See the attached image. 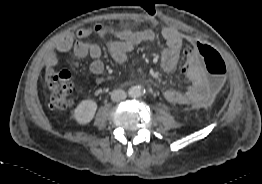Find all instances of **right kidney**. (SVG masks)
<instances>
[{
  "instance_id": "right-kidney-1",
  "label": "right kidney",
  "mask_w": 262,
  "mask_h": 184,
  "mask_svg": "<svg viewBox=\"0 0 262 184\" xmlns=\"http://www.w3.org/2000/svg\"><path fill=\"white\" fill-rule=\"evenodd\" d=\"M97 110V103L94 100H83L75 109V118L80 124L89 123Z\"/></svg>"
}]
</instances>
